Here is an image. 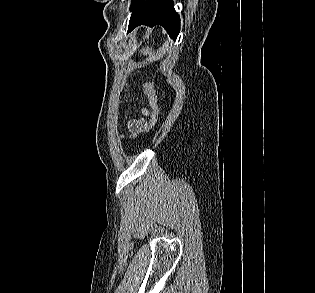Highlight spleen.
Segmentation results:
<instances>
[{
	"mask_svg": "<svg viewBox=\"0 0 315 293\" xmlns=\"http://www.w3.org/2000/svg\"><path fill=\"white\" fill-rule=\"evenodd\" d=\"M141 53H143V55H149V56H151V55H152V49H150L149 47L143 48V49L141 50Z\"/></svg>",
	"mask_w": 315,
	"mask_h": 293,
	"instance_id": "3e777b00",
	"label": "spleen"
}]
</instances>
